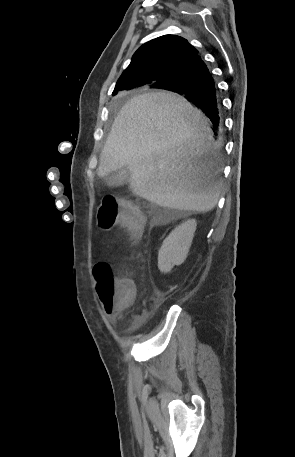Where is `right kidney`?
I'll list each match as a JSON object with an SVG mask.
<instances>
[{
	"mask_svg": "<svg viewBox=\"0 0 295 457\" xmlns=\"http://www.w3.org/2000/svg\"><path fill=\"white\" fill-rule=\"evenodd\" d=\"M196 220H187L177 226L163 241L158 252V268L169 272L173 266L184 262L196 230Z\"/></svg>",
	"mask_w": 295,
	"mask_h": 457,
	"instance_id": "right-kidney-1",
	"label": "right kidney"
}]
</instances>
